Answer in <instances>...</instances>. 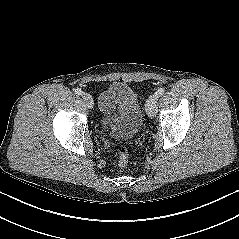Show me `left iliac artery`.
Here are the masks:
<instances>
[{"label": "left iliac artery", "mask_w": 239, "mask_h": 239, "mask_svg": "<svg viewBox=\"0 0 239 239\" xmlns=\"http://www.w3.org/2000/svg\"><path fill=\"white\" fill-rule=\"evenodd\" d=\"M165 92L164 88H159L157 92L155 93L158 97L162 96Z\"/></svg>", "instance_id": "obj_1"}]
</instances>
